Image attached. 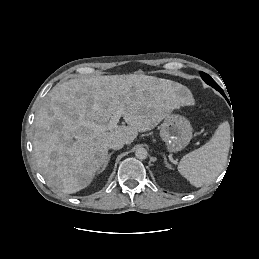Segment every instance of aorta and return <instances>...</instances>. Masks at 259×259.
Here are the masks:
<instances>
[{
	"label": "aorta",
	"mask_w": 259,
	"mask_h": 259,
	"mask_svg": "<svg viewBox=\"0 0 259 259\" xmlns=\"http://www.w3.org/2000/svg\"><path fill=\"white\" fill-rule=\"evenodd\" d=\"M135 156H136V158L141 159V160L146 159L147 158V150L145 148H142V147L138 148L135 151Z\"/></svg>",
	"instance_id": "762f6f07"
}]
</instances>
